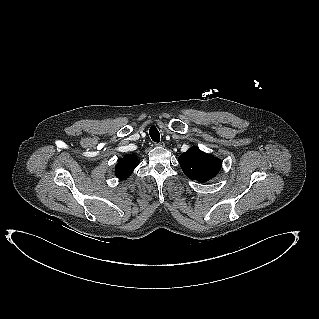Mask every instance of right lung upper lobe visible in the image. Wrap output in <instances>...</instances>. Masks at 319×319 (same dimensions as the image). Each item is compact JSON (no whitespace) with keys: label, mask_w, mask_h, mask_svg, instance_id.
<instances>
[{"label":"right lung upper lobe","mask_w":319,"mask_h":319,"mask_svg":"<svg viewBox=\"0 0 319 319\" xmlns=\"http://www.w3.org/2000/svg\"><path fill=\"white\" fill-rule=\"evenodd\" d=\"M138 164L139 160L136 155H126L118 161L115 172L116 176L121 180L127 179Z\"/></svg>","instance_id":"1"}]
</instances>
